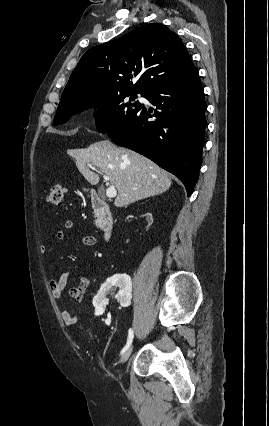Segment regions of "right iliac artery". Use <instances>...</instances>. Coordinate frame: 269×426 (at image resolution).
Returning a JSON list of instances; mask_svg holds the SVG:
<instances>
[{
  "label": "right iliac artery",
  "mask_w": 269,
  "mask_h": 426,
  "mask_svg": "<svg viewBox=\"0 0 269 426\" xmlns=\"http://www.w3.org/2000/svg\"><path fill=\"white\" fill-rule=\"evenodd\" d=\"M134 334H133V330L130 328L128 331V338H127V343L125 345V347L122 349L121 354L124 353L129 346L131 345V342L133 340Z\"/></svg>",
  "instance_id": "right-iliac-artery-1"
}]
</instances>
